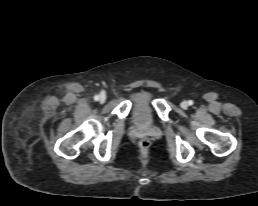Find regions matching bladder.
<instances>
[{
    "mask_svg": "<svg viewBox=\"0 0 258 206\" xmlns=\"http://www.w3.org/2000/svg\"><path fill=\"white\" fill-rule=\"evenodd\" d=\"M153 94L149 90H139L131 99V114L135 124L140 126L149 125L152 122Z\"/></svg>",
    "mask_w": 258,
    "mask_h": 206,
    "instance_id": "obj_1",
    "label": "bladder"
}]
</instances>
